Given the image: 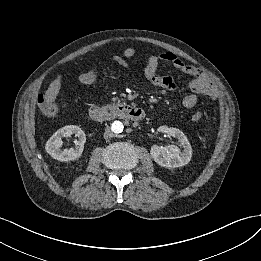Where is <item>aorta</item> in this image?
I'll return each mask as SVG.
<instances>
[{"mask_svg": "<svg viewBox=\"0 0 261 261\" xmlns=\"http://www.w3.org/2000/svg\"><path fill=\"white\" fill-rule=\"evenodd\" d=\"M114 133H121L124 129V125L121 121H114L111 125Z\"/></svg>", "mask_w": 261, "mask_h": 261, "instance_id": "aorta-1", "label": "aorta"}]
</instances>
